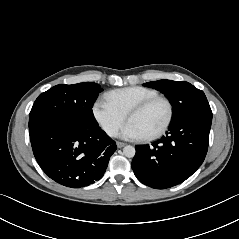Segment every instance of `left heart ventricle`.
<instances>
[{
  "instance_id": "1",
  "label": "left heart ventricle",
  "mask_w": 239,
  "mask_h": 239,
  "mask_svg": "<svg viewBox=\"0 0 239 239\" xmlns=\"http://www.w3.org/2000/svg\"><path fill=\"white\" fill-rule=\"evenodd\" d=\"M168 117V106L164 101H157L143 112L129 119L142 137L155 133L165 123Z\"/></svg>"
}]
</instances>
